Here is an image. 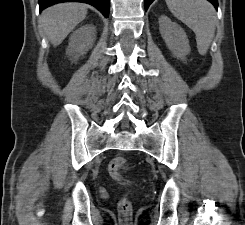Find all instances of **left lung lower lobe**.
Returning <instances> with one entry per match:
<instances>
[{
	"label": "left lung lower lobe",
	"mask_w": 245,
	"mask_h": 225,
	"mask_svg": "<svg viewBox=\"0 0 245 225\" xmlns=\"http://www.w3.org/2000/svg\"><path fill=\"white\" fill-rule=\"evenodd\" d=\"M154 0H144L145 2V11L148 9L149 5L153 2ZM209 2H211L214 7L217 9L218 7V0H208Z\"/></svg>",
	"instance_id": "obj_1"
}]
</instances>
